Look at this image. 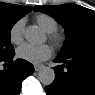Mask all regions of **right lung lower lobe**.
I'll list each match as a JSON object with an SVG mask.
<instances>
[{"label": "right lung lower lobe", "mask_w": 95, "mask_h": 95, "mask_svg": "<svg viewBox=\"0 0 95 95\" xmlns=\"http://www.w3.org/2000/svg\"><path fill=\"white\" fill-rule=\"evenodd\" d=\"M15 52L0 58V62H8L13 59ZM34 72V67L29 62L18 59L7 70L0 71V95H19L22 81Z\"/></svg>", "instance_id": "1"}]
</instances>
